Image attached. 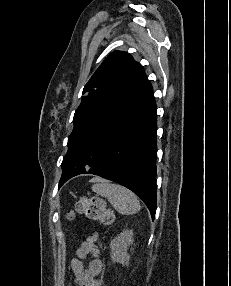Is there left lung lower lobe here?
Listing matches in <instances>:
<instances>
[{
  "label": "left lung lower lobe",
  "mask_w": 231,
  "mask_h": 286,
  "mask_svg": "<svg viewBox=\"0 0 231 286\" xmlns=\"http://www.w3.org/2000/svg\"><path fill=\"white\" fill-rule=\"evenodd\" d=\"M156 103L147 80L100 120L69 157L59 182L84 173L117 182L156 212Z\"/></svg>",
  "instance_id": "1"
}]
</instances>
